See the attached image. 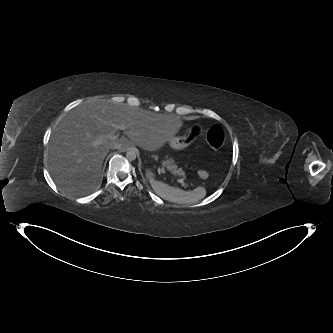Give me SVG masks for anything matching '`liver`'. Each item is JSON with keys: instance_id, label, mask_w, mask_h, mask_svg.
<instances>
[{"instance_id": "obj_1", "label": "liver", "mask_w": 333, "mask_h": 333, "mask_svg": "<svg viewBox=\"0 0 333 333\" xmlns=\"http://www.w3.org/2000/svg\"><path fill=\"white\" fill-rule=\"evenodd\" d=\"M125 125L126 137L106 138ZM171 116L143 110L129 103L90 99L71 111L55 128L48 150L50 173L65 191L82 195L102 181V164L113 144L130 142L144 150L158 151L181 127ZM101 140V144H96Z\"/></svg>"}]
</instances>
